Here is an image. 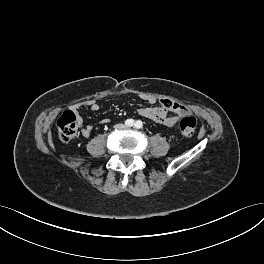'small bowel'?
<instances>
[{
  "label": "small bowel",
  "mask_w": 264,
  "mask_h": 264,
  "mask_svg": "<svg viewBox=\"0 0 264 264\" xmlns=\"http://www.w3.org/2000/svg\"><path fill=\"white\" fill-rule=\"evenodd\" d=\"M144 100H146L150 104H154L157 100L155 97L149 96L144 97ZM86 106H88L92 111H98L99 105L96 101L90 100L86 102ZM172 111L176 113L177 116H169V112ZM137 112L139 115L148 118L150 120H153L159 124H162L166 127H173L177 121L178 118L181 116L188 115L189 109L177 102L171 101L169 99H161L160 105L155 107H140L137 109ZM78 117V124L81 129V133L85 138H88L93 130L92 125H84L83 120L80 115ZM108 119L102 120V123H107Z\"/></svg>",
  "instance_id": "small-bowel-1"
}]
</instances>
